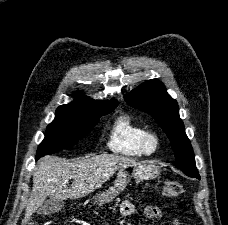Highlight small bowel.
Returning a JSON list of instances; mask_svg holds the SVG:
<instances>
[{"label":"small bowel","instance_id":"c3829d8e","mask_svg":"<svg viewBox=\"0 0 228 225\" xmlns=\"http://www.w3.org/2000/svg\"><path fill=\"white\" fill-rule=\"evenodd\" d=\"M121 212L124 217L132 216L135 213V205L133 204V202L126 200L121 205ZM144 214L149 219L158 218L162 215V210L157 206H147L144 209ZM172 225H181V223L178 219H174Z\"/></svg>","mask_w":228,"mask_h":225}]
</instances>
